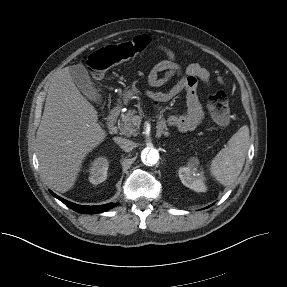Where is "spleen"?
Instances as JSON below:
<instances>
[{
	"mask_svg": "<svg viewBox=\"0 0 287 287\" xmlns=\"http://www.w3.org/2000/svg\"><path fill=\"white\" fill-rule=\"evenodd\" d=\"M249 146V128L242 126L210 163V174L222 185H231L240 175Z\"/></svg>",
	"mask_w": 287,
	"mask_h": 287,
	"instance_id": "obj_1",
	"label": "spleen"
}]
</instances>
